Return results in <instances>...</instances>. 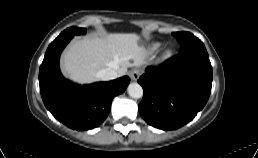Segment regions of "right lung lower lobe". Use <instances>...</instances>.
<instances>
[{
    "label": "right lung lower lobe",
    "instance_id": "98d812e1",
    "mask_svg": "<svg viewBox=\"0 0 258 158\" xmlns=\"http://www.w3.org/2000/svg\"><path fill=\"white\" fill-rule=\"evenodd\" d=\"M72 35H59L48 47L39 69L42 100L52 115L68 127L88 130L108 116L113 98L127 88L130 78L77 85L63 78L59 57Z\"/></svg>",
    "mask_w": 258,
    "mask_h": 158
}]
</instances>
